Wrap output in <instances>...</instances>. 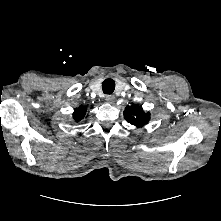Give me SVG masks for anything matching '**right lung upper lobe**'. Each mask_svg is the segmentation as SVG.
<instances>
[{
  "label": "right lung upper lobe",
  "mask_w": 221,
  "mask_h": 221,
  "mask_svg": "<svg viewBox=\"0 0 221 221\" xmlns=\"http://www.w3.org/2000/svg\"><path fill=\"white\" fill-rule=\"evenodd\" d=\"M86 115V107L80 106L79 108L75 109L73 113V118L76 122L81 121Z\"/></svg>",
  "instance_id": "cb5924a9"
}]
</instances>
